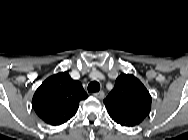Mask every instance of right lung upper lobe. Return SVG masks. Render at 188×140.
Segmentation results:
<instances>
[{"mask_svg": "<svg viewBox=\"0 0 188 140\" xmlns=\"http://www.w3.org/2000/svg\"><path fill=\"white\" fill-rule=\"evenodd\" d=\"M88 96L79 81L68 72L47 78L36 90L32 105L37 115L49 125H61L72 118L79 102Z\"/></svg>", "mask_w": 188, "mask_h": 140, "instance_id": "1", "label": "right lung upper lobe"}]
</instances>
